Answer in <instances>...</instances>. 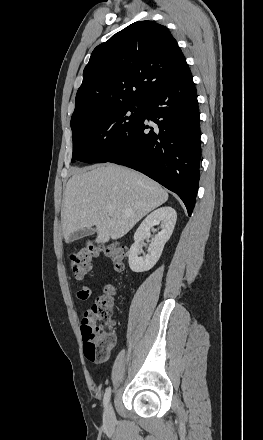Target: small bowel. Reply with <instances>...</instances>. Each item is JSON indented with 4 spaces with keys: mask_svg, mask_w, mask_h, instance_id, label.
<instances>
[{
    "mask_svg": "<svg viewBox=\"0 0 263 440\" xmlns=\"http://www.w3.org/2000/svg\"><path fill=\"white\" fill-rule=\"evenodd\" d=\"M91 288L88 286H81L80 288L77 289L76 293H75V297L78 301H86L89 299V297L91 296Z\"/></svg>",
    "mask_w": 263,
    "mask_h": 440,
    "instance_id": "1",
    "label": "small bowel"
}]
</instances>
